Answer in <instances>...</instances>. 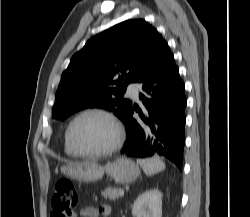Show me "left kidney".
I'll return each instance as SVG.
<instances>
[{
	"label": "left kidney",
	"instance_id": "obj_1",
	"mask_svg": "<svg viewBox=\"0 0 250 217\" xmlns=\"http://www.w3.org/2000/svg\"><path fill=\"white\" fill-rule=\"evenodd\" d=\"M135 217H162V194L158 189H150L141 194L133 203Z\"/></svg>",
	"mask_w": 250,
	"mask_h": 217
}]
</instances>
